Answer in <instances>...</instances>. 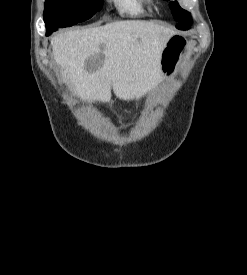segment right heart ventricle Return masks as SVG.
<instances>
[{
	"instance_id": "1",
	"label": "right heart ventricle",
	"mask_w": 247,
	"mask_h": 275,
	"mask_svg": "<svg viewBox=\"0 0 247 275\" xmlns=\"http://www.w3.org/2000/svg\"><path fill=\"white\" fill-rule=\"evenodd\" d=\"M115 7L123 14L138 16L152 10V0H112Z\"/></svg>"
}]
</instances>
